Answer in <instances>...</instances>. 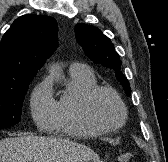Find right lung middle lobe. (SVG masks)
<instances>
[{
  "mask_svg": "<svg viewBox=\"0 0 168 162\" xmlns=\"http://www.w3.org/2000/svg\"><path fill=\"white\" fill-rule=\"evenodd\" d=\"M32 79L0 86V129L11 127L21 119L24 95Z\"/></svg>",
  "mask_w": 168,
  "mask_h": 162,
  "instance_id": "1",
  "label": "right lung middle lobe"
}]
</instances>
